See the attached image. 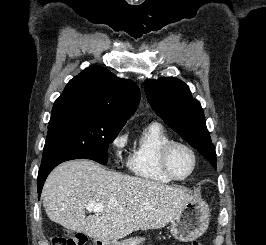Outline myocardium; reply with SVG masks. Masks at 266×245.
I'll return each instance as SVG.
<instances>
[{
    "label": "myocardium",
    "instance_id": "myocardium-1",
    "mask_svg": "<svg viewBox=\"0 0 266 245\" xmlns=\"http://www.w3.org/2000/svg\"><path fill=\"white\" fill-rule=\"evenodd\" d=\"M178 146L187 149L193 157V167L191 171L189 172L188 175L182 178H179L174 174V172L171 169L170 162H169L170 154L172 150ZM160 165H161L163 172L173 181H185L189 179L190 177H192V175L195 173L197 166H198V155H197L196 150L188 143L183 142V141H178V140H170L161 148Z\"/></svg>",
    "mask_w": 266,
    "mask_h": 245
}]
</instances>
